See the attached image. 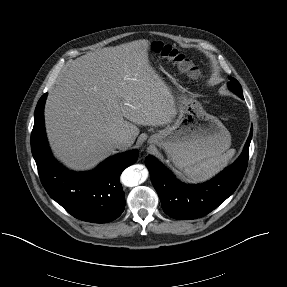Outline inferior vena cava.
I'll list each match as a JSON object with an SVG mask.
<instances>
[{"label": "inferior vena cava", "mask_w": 287, "mask_h": 287, "mask_svg": "<svg viewBox=\"0 0 287 287\" xmlns=\"http://www.w3.org/2000/svg\"><path fill=\"white\" fill-rule=\"evenodd\" d=\"M111 143H112L114 148L121 149V148L127 146L129 141H128V138L126 136L120 135V136L115 137Z\"/></svg>", "instance_id": "obj_1"}]
</instances>
